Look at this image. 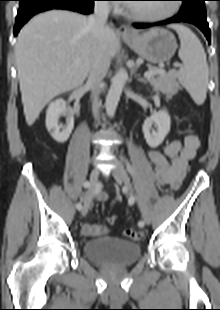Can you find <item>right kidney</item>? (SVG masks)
I'll return each mask as SVG.
<instances>
[{"instance_id":"right-kidney-1","label":"right kidney","mask_w":220,"mask_h":310,"mask_svg":"<svg viewBox=\"0 0 220 310\" xmlns=\"http://www.w3.org/2000/svg\"><path fill=\"white\" fill-rule=\"evenodd\" d=\"M66 115V125L59 124V117ZM46 128L52 138L58 143L68 140L73 128L74 117L68 111L66 102L59 98L51 102L46 112Z\"/></svg>"}]
</instances>
